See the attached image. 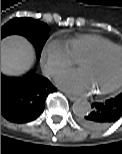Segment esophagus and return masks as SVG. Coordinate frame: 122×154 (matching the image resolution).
I'll return each instance as SVG.
<instances>
[{"mask_svg": "<svg viewBox=\"0 0 122 154\" xmlns=\"http://www.w3.org/2000/svg\"><path fill=\"white\" fill-rule=\"evenodd\" d=\"M65 95L69 98L70 101H76L78 98L72 94H69L67 92H64Z\"/></svg>", "mask_w": 122, "mask_h": 154, "instance_id": "obj_1", "label": "esophagus"}]
</instances>
